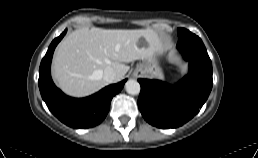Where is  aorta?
<instances>
[{
  "label": "aorta",
  "instance_id": "1",
  "mask_svg": "<svg viewBox=\"0 0 258 158\" xmlns=\"http://www.w3.org/2000/svg\"><path fill=\"white\" fill-rule=\"evenodd\" d=\"M126 92L131 95H137L140 92V84L138 81L130 79L125 84Z\"/></svg>",
  "mask_w": 258,
  "mask_h": 158
}]
</instances>
